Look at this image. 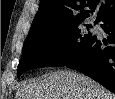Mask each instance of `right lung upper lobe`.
Listing matches in <instances>:
<instances>
[{"instance_id":"1","label":"right lung upper lobe","mask_w":115,"mask_h":99,"mask_svg":"<svg viewBox=\"0 0 115 99\" xmlns=\"http://www.w3.org/2000/svg\"><path fill=\"white\" fill-rule=\"evenodd\" d=\"M115 11V0H41L27 37L82 23L97 12L95 23Z\"/></svg>"}]
</instances>
